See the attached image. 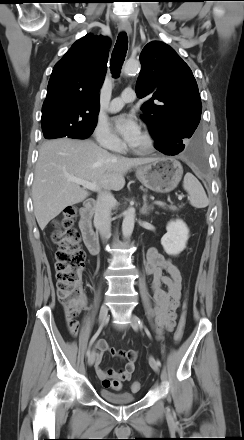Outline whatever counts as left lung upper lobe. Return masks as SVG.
Segmentation results:
<instances>
[{
    "label": "left lung upper lobe",
    "instance_id": "1",
    "mask_svg": "<svg viewBox=\"0 0 244 440\" xmlns=\"http://www.w3.org/2000/svg\"><path fill=\"white\" fill-rule=\"evenodd\" d=\"M142 69L136 82L143 104L142 119L147 123L155 148L167 152L180 149L186 139H194L202 104L191 69L167 44L148 43L140 54Z\"/></svg>",
    "mask_w": 244,
    "mask_h": 440
}]
</instances>
